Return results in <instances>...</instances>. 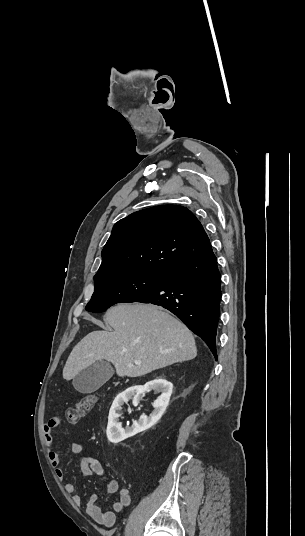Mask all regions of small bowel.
<instances>
[{
  "label": "small bowel",
  "instance_id": "c3829d8e",
  "mask_svg": "<svg viewBox=\"0 0 305 536\" xmlns=\"http://www.w3.org/2000/svg\"><path fill=\"white\" fill-rule=\"evenodd\" d=\"M57 422L55 419L50 418L46 424L43 425L42 430L44 432V443L47 448L48 457L55 470V475L58 480H63L65 477L64 470L61 468V460L57 451L53 450V443L55 433L53 432ZM71 452L79 456V462L81 467L82 476L88 477L92 474H96L103 478L105 483V489L108 493H119L118 497L112 503L111 510H102L98 505V496L93 493L89 496L86 503V513L98 524L112 527L116 522V514L122 512L131 503V495L128 489H120L119 483L115 479H110L106 476L102 464L88 453L85 452L84 447L79 442H74L71 445ZM64 490L67 494L72 496V500L76 505H80L82 498L79 494L75 493V485L72 482H67L64 485Z\"/></svg>",
  "mask_w": 305,
  "mask_h": 536
}]
</instances>
